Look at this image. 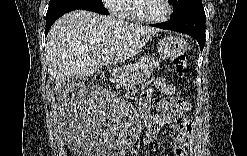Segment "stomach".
Returning <instances> with one entry per match:
<instances>
[{
	"instance_id": "stomach-1",
	"label": "stomach",
	"mask_w": 247,
	"mask_h": 156,
	"mask_svg": "<svg viewBox=\"0 0 247 156\" xmlns=\"http://www.w3.org/2000/svg\"><path fill=\"white\" fill-rule=\"evenodd\" d=\"M187 49L186 40L180 36H168L159 41L158 52L160 58L147 57L149 65L157 67L161 59H173L181 55Z\"/></svg>"
}]
</instances>
